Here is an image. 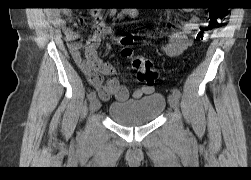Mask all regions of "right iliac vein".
<instances>
[{
    "label": "right iliac vein",
    "instance_id": "63e3f726",
    "mask_svg": "<svg viewBox=\"0 0 251 180\" xmlns=\"http://www.w3.org/2000/svg\"><path fill=\"white\" fill-rule=\"evenodd\" d=\"M100 107H101V102L97 98H95L94 100L91 101L90 110L92 112L99 110Z\"/></svg>",
    "mask_w": 251,
    "mask_h": 180
}]
</instances>
